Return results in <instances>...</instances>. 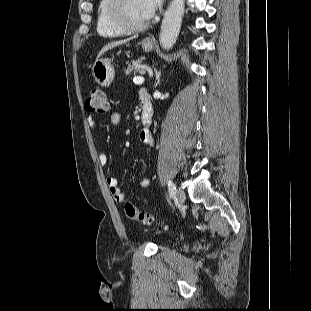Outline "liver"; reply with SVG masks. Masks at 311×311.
<instances>
[{"mask_svg":"<svg viewBox=\"0 0 311 311\" xmlns=\"http://www.w3.org/2000/svg\"><path fill=\"white\" fill-rule=\"evenodd\" d=\"M131 39L133 38H128V39H124V40H120V41H116V42H113V43H110L106 46H104L101 51L98 53L97 55V59L98 60L106 51H108L109 49H112L114 47H117L119 45H122V44H125L127 42H129Z\"/></svg>","mask_w":311,"mask_h":311,"instance_id":"obj_1","label":"liver"}]
</instances>
